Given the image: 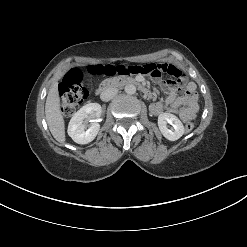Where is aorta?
I'll return each mask as SVG.
<instances>
[{
	"mask_svg": "<svg viewBox=\"0 0 247 247\" xmlns=\"http://www.w3.org/2000/svg\"><path fill=\"white\" fill-rule=\"evenodd\" d=\"M124 90H125V92H126L127 94H130V95L136 93V87H135V85H133V84H128V85H126L125 88H124Z\"/></svg>",
	"mask_w": 247,
	"mask_h": 247,
	"instance_id": "1",
	"label": "aorta"
}]
</instances>
